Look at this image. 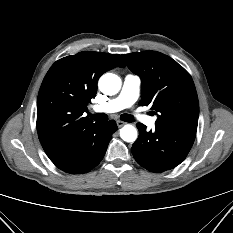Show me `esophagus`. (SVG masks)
<instances>
[{
    "label": "esophagus",
    "mask_w": 233,
    "mask_h": 233,
    "mask_svg": "<svg viewBox=\"0 0 233 233\" xmlns=\"http://www.w3.org/2000/svg\"><path fill=\"white\" fill-rule=\"evenodd\" d=\"M116 123H117V126H118L119 128L122 127L123 125H125V122H123V121H121V120H117Z\"/></svg>",
    "instance_id": "34e87169"
}]
</instances>
